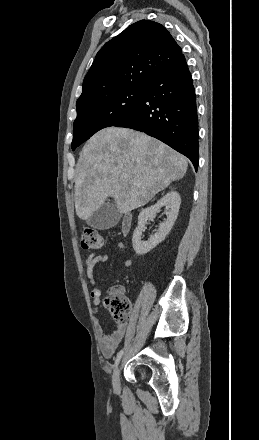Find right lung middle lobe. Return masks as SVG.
Listing matches in <instances>:
<instances>
[{"label":"right lung middle lobe","mask_w":259,"mask_h":440,"mask_svg":"<svg viewBox=\"0 0 259 440\" xmlns=\"http://www.w3.org/2000/svg\"><path fill=\"white\" fill-rule=\"evenodd\" d=\"M147 88L122 89L77 108L72 150L97 131L113 126L129 115L142 100Z\"/></svg>","instance_id":"dd1d6c3e"}]
</instances>
